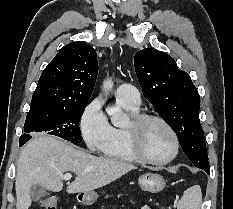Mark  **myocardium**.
<instances>
[{"mask_svg": "<svg viewBox=\"0 0 233 209\" xmlns=\"http://www.w3.org/2000/svg\"><path fill=\"white\" fill-rule=\"evenodd\" d=\"M150 121H155L163 125L172 137L173 152L166 159H163V160L152 159L148 157L143 151L142 144H141L142 132H143L144 126ZM126 132H127L129 147L132 153L135 155V157L141 162L152 164V165H157V166H163V165H167L170 162H172L178 155L179 148H180L178 136L174 128L170 125V123L158 115L150 114V113H140L134 116L130 124L126 127Z\"/></svg>", "mask_w": 233, "mask_h": 209, "instance_id": "1", "label": "myocardium"}]
</instances>
